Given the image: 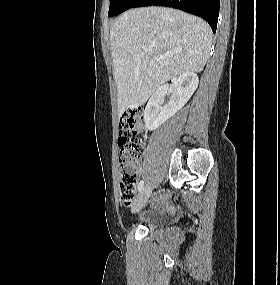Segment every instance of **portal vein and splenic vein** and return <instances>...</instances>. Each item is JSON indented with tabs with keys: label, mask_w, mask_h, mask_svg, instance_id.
Listing matches in <instances>:
<instances>
[{
	"label": "portal vein and splenic vein",
	"mask_w": 280,
	"mask_h": 285,
	"mask_svg": "<svg viewBox=\"0 0 280 285\" xmlns=\"http://www.w3.org/2000/svg\"><path fill=\"white\" fill-rule=\"evenodd\" d=\"M143 51L147 53V52H148V49H143ZM167 56H168V55L161 56V57L158 58V60H163V59H165Z\"/></svg>",
	"instance_id": "obj_1"
}]
</instances>
